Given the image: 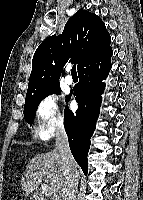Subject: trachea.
<instances>
[{
	"mask_svg": "<svg viewBox=\"0 0 143 200\" xmlns=\"http://www.w3.org/2000/svg\"><path fill=\"white\" fill-rule=\"evenodd\" d=\"M71 74H72V76H76L77 75V71H76V66L75 65L71 69Z\"/></svg>",
	"mask_w": 143,
	"mask_h": 200,
	"instance_id": "obj_1",
	"label": "trachea"
}]
</instances>
